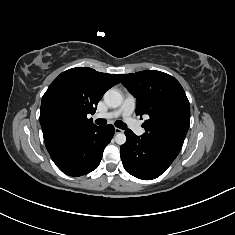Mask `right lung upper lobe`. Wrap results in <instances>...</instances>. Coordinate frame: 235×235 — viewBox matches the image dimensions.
<instances>
[{
	"instance_id": "obj_1",
	"label": "right lung upper lobe",
	"mask_w": 235,
	"mask_h": 235,
	"mask_svg": "<svg viewBox=\"0 0 235 235\" xmlns=\"http://www.w3.org/2000/svg\"><path fill=\"white\" fill-rule=\"evenodd\" d=\"M120 81L116 74L76 67L61 73L43 95L40 124L44 141L95 127L88 114H94L104 93Z\"/></svg>"
}]
</instances>
